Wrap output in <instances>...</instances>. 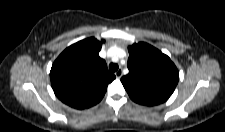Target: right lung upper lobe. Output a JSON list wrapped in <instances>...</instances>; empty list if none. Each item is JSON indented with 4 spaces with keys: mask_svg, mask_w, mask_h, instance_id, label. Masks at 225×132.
<instances>
[{
    "mask_svg": "<svg viewBox=\"0 0 225 132\" xmlns=\"http://www.w3.org/2000/svg\"><path fill=\"white\" fill-rule=\"evenodd\" d=\"M101 46L94 37L87 38L66 48L54 61L51 85L63 103L84 109L101 101L108 84L116 78L99 57Z\"/></svg>",
    "mask_w": 225,
    "mask_h": 132,
    "instance_id": "obj_1",
    "label": "right lung upper lobe"
}]
</instances>
